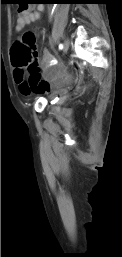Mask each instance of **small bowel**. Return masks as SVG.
I'll use <instances>...</instances> for the list:
<instances>
[{
  "instance_id": "small-bowel-1",
  "label": "small bowel",
  "mask_w": 122,
  "mask_h": 257,
  "mask_svg": "<svg viewBox=\"0 0 122 257\" xmlns=\"http://www.w3.org/2000/svg\"><path fill=\"white\" fill-rule=\"evenodd\" d=\"M43 11V6H37L20 12L16 19L15 30L20 32L29 24L39 20ZM55 64L52 54L48 49H45L41 59L42 70L36 79H32L30 75H27L24 69L15 68L14 76L21 94L28 96L33 93L48 92L51 84L58 82L62 78H64L62 79V84H73V81L68 80L69 73H63V70L56 68Z\"/></svg>"
}]
</instances>
